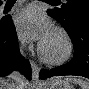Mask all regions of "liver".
<instances>
[{"label": "liver", "mask_w": 89, "mask_h": 89, "mask_svg": "<svg viewBox=\"0 0 89 89\" xmlns=\"http://www.w3.org/2000/svg\"><path fill=\"white\" fill-rule=\"evenodd\" d=\"M49 81H47L48 83ZM17 84H20V85H16L15 87L17 88H14V89H19L18 87H24V82L22 80H20L19 78L17 79ZM1 87H4L3 86V80H1ZM2 89H6V88H2Z\"/></svg>", "instance_id": "liver-1"}]
</instances>
